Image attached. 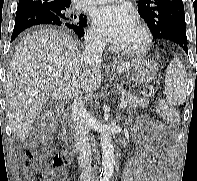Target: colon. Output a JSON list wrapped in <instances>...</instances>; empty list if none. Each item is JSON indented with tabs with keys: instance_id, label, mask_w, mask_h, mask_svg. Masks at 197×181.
I'll return each instance as SVG.
<instances>
[{
	"instance_id": "colon-1",
	"label": "colon",
	"mask_w": 197,
	"mask_h": 181,
	"mask_svg": "<svg viewBox=\"0 0 197 181\" xmlns=\"http://www.w3.org/2000/svg\"><path fill=\"white\" fill-rule=\"evenodd\" d=\"M158 111L168 125L173 128L178 120L179 114L177 110L166 101L158 103ZM49 127V121H45L36 129V136H43ZM52 165L62 171V167L67 163L65 155L62 153L56 154L52 159ZM25 173L29 181H51L48 178V171L40 153L35 152L27 156L25 162Z\"/></svg>"
}]
</instances>
